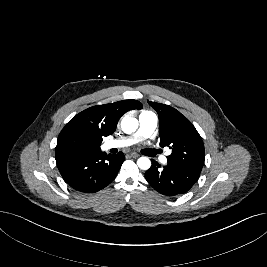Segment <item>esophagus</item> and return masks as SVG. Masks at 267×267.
I'll return each mask as SVG.
<instances>
[{
  "instance_id": "esophagus-1",
  "label": "esophagus",
  "mask_w": 267,
  "mask_h": 267,
  "mask_svg": "<svg viewBox=\"0 0 267 267\" xmlns=\"http://www.w3.org/2000/svg\"><path fill=\"white\" fill-rule=\"evenodd\" d=\"M130 156H131L132 158H137V157H139V154L136 153V152H132V153H130Z\"/></svg>"
}]
</instances>
